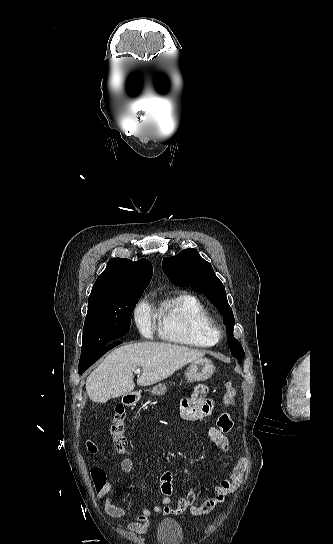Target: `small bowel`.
<instances>
[{
	"label": "small bowel",
	"mask_w": 333,
	"mask_h": 544,
	"mask_svg": "<svg viewBox=\"0 0 333 544\" xmlns=\"http://www.w3.org/2000/svg\"><path fill=\"white\" fill-rule=\"evenodd\" d=\"M215 409L213 399L209 397L208 387L198 386L191 397L181 401L179 406L180 415L187 420L195 421L210 416ZM233 427V421L229 414H222L217 421V425L210 427L208 436L210 440L221 450L228 451L230 442L227 434ZM246 459L240 458L232 469L228 477L222 480L214 489V495L200 504L196 503L197 495L195 490H190L181 496L176 505H172L173 484L172 474L165 471L160 478L161 492L163 498L161 505L152 508L144 507L139 515L132 516L125 508L113 503V491L110 483L97 490V498L104 499V509L106 513L114 518L126 519L131 521L126 524V528L137 534H145L151 526L153 514L162 515H182L189 512L194 516L209 514L224 498L235 491L243 481L246 470ZM121 472L129 474L133 469V461L130 458H124L120 463Z\"/></svg>",
	"instance_id": "c3829d8e"
}]
</instances>
